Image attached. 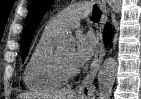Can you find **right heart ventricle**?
I'll return each instance as SVG.
<instances>
[{
    "mask_svg": "<svg viewBox=\"0 0 141 99\" xmlns=\"http://www.w3.org/2000/svg\"><path fill=\"white\" fill-rule=\"evenodd\" d=\"M58 36L43 31L31 52L24 71V84L36 92L50 91L61 87L64 80L58 77L51 64V57Z\"/></svg>",
    "mask_w": 141,
    "mask_h": 99,
    "instance_id": "obj_1",
    "label": "right heart ventricle"
}]
</instances>
